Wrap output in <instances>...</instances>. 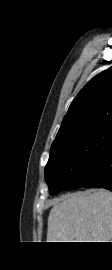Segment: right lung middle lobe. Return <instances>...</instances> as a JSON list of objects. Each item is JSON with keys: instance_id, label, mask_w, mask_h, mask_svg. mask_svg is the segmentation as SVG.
<instances>
[{"instance_id": "dd1d6c3e", "label": "right lung middle lobe", "mask_w": 112, "mask_h": 270, "mask_svg": "<svg viewBox=\"0 0 112 270\" xmlns=\"http://www.w3.org/2000/svg\"><path fill=\"white\" fill-rule=\"evenodd\" d=\"M112 143V121L51 147L45 167L50 194L79 188L90 164Z\"/></svg>"}]
</instances>
